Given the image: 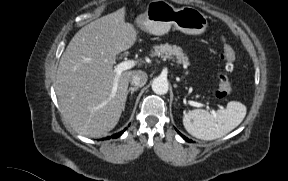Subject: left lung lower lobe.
<instances>
[{
    "instance_id": "obj_1",
    "label": "left lung lower lobe",
    "mask_w": 288,
    "mask_h": 181,
    "mask_svg": "<svg viewBox=\"0 0 288 181\" xmlns=\"http://www.w3.org/2000/svg\"><path fill=\"white\" fill-rule=\"evenodd\" d=\"M179 133V135H181L183 137V139H185L187 142H192V140L188 139L187 137H185L184 135H182L179 131H177Z\"/></svg>"
}]
</instances>
